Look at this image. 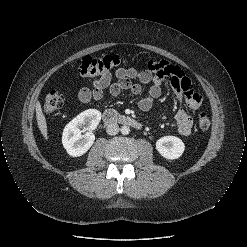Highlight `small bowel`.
Masks as SVG:
<instances>
[{
	"mask_svg": "<svg viewBox=\"0 0 247 247\" xmlns=\"http://www.w3.org/2000/svg\"><path fill=\"white\" fill-rule=\"evenodd\" d=\"M112 75H105L93 82L92 89H81L79 100L87 103L90 100H100L104 91L108 89L112 96H118L122 91H129L132 94H140L143 86L150 84L148 95L142 98L138 106L142 111H149L155 99L160 97L162 82L169 79L170 86L180 103L186 104L190 109L196 110L202 104V96L194 91L192 84L183 71L164 60H150L147 68L136 70L134 68H119L114 72L116 81H112ZM175 121L181 135L191 134L193 120L183 108H179L175 114Z\"/></svg>",
	"mask_w": 247,
	"mask_h": 247,
	"instance_id": "1",
	"label": "small bowel"
}]
</instances>
